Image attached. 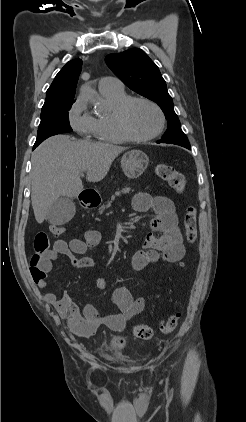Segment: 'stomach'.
I'll return each instance as SVG.
<instances>
[{
	"mask_svg": "<svg viewBox=\"0 0 246 422\" xmlns=\"http://www.w3.org/2000/svg\"><path fill=\"white\" fill-rule=\"evenodd\" d=\"M148 163V156L140 150H130L121 159L122 170L129 179H136L141 176Z\"/></svg>",
	"mask_w": 246,
	"mask_h": 422,
	"instance_id": "obj_1",
	"label": "stomach"
}]
</instances>
